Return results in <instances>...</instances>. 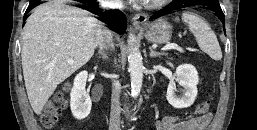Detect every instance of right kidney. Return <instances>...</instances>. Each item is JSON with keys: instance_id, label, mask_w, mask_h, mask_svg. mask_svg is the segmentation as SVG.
<instances>
[{"instance_id": "obj_1", "label": "right kidney", "mask_w": 257, "mask_h": 130, "mask_svg": "<svg viewBox=\"0 0 257 130\" xmlns=\"http://www.w3.org/2000/svg\"><path fill=\"white\" fill-rule=\"evenodd\" d=\"M87 78V71L80 72L74 79L73 88L70 93L71 112L78 120L86 118L91 111V98L85 89Z\"/></svg>"}]
</instances>
